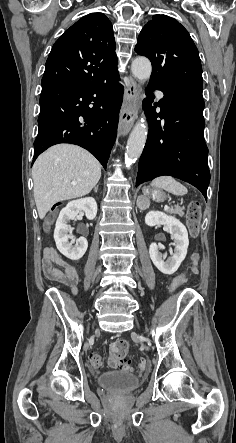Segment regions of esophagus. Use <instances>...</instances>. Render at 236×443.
Here are the masks:
<instances>
[{"label":"esophagus","instance_id":"34e87169","mask_svg":"<svg viewBox=\"0 0 236 443\" xmlns=\"http://www.w3.org/2000/svg\"><path fill=\"white\" fill-rule=\"evenodd\" d=\"M126 104L120 115L118 133L125 136L131 130L138 115L140 102V87L133 77H129V84L125 89Z\"/></svg>","mask_w":236,"mask_h":443}]
</instances>
